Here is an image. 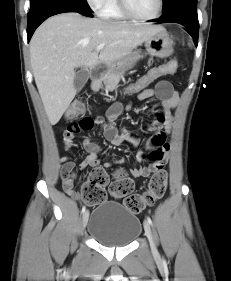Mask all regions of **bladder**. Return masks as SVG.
Returning a JSON list of instances; mask_svg holds the SVG:
<instances>
[{
	"instance_id": "31cf9c89",
	"label": "bladder",
	"mask_w": 231,
	"mask_h": 281,
	"mask_svg": "<svg viewBox=\"0 0 231 281\" xmlns=\"http://www.w3.org/2000/svg\"><path fill=\"white\" fill-rule=\"evenodd\" d=\"M88 234L106 247H123L131 244L141 234L140 219L117 202H103L88 218Z\"/></svg>"
}]
</instances>
